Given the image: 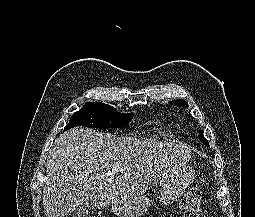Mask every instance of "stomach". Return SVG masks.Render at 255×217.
Masks as SVG:
<instances>
[{
	"label": "stomach",
	"mask_w": 255,
	"mask_h": 217,
	"mask_svg": "<svg viewBox=\"0 0 255 217\" xmlns=\"http://www.w3.org/2000/svg\"><path fill=\"white\" fill-rule=\"evenodd\" d=\"M194 170L183 165L160 179V202L169 204L179 198L194 179ZM150 201L142 196L136 199L114 203L111 211L118 217H140L149 209Z\"/></svg>",
	"instance_id": "0dacf381"
}]
</instances>
